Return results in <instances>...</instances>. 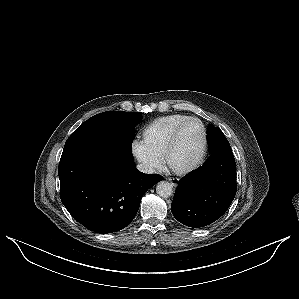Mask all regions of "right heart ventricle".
Here are the masks:
<instances>
[{"label": "right heart ventricle", "instance_id": "right-heart-ventricle-1", "mask_svg": "<svg viewBox=\"0 0 299 299\" xmlns=\"http://www.w3.org/2000/svg\"><path fill=\"white\" fill-rule=\"evenodd\" d=\"M189 118L183 114H170L156 119L145 129L143 143L152 154L161 157L172 132Z\"/></svg>", "mask_w": 299, "mask_h": 299}]
</instances>
